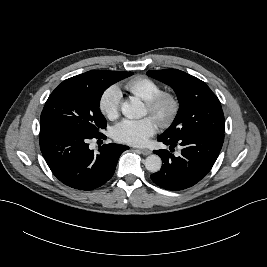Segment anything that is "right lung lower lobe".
Instances as JSON below:
<instances>
[{
	"mask_svg": "<svg viewBox=\"0 0 267 267\" xmlns=\"http://www.w3.org/2000/svg\"><path fill=\"white\" fill-rule=\"evenodd\" d=\"M88 136L49 122H40V148L52 173L65 185L78 190H93L114 174L118 159L128 146L104 144L98 153L89 149Z\"/></svg>",
	"mask_w": 267,
	"mask_h": 267,
	"instance_id": "right-lung-lower-lobe-1",
	"label": "right lung lower lobe"
}]
</instances>
